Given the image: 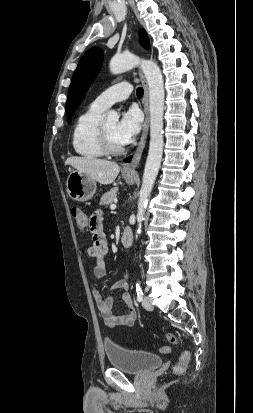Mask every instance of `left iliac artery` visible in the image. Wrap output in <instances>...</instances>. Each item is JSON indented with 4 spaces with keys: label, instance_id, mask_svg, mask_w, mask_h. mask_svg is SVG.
<instances>
[{
    "label": "left iliac artery",
    "instance_id": "left-iliac-artery-1",
    "mask_svg": "<svg viewBox=\"0 0 253 413\" xmlns=\"http://www.w3.org/2000/svg\"><path fill=\"white\" fill-rule=\"evenodd\" d=\"M136 293H137V300L141 302L143 300L144 293L139 283L136 284Z\"/></svg>",
    "mask_w": 253,
    "mask_h": 413
}]
</instances>
